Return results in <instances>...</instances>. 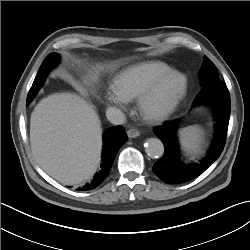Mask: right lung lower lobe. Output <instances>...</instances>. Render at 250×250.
I'll return each instance as SVG.
<instances>
[{"instance_id":"98d812e1","label":"right lung lower lobe","mask_w":250,"mask_h":250,"mask_svg":"<svg viewBox=\"0 0 250 250\" xmlns=\"http://www.w3.org/2000/svg\"><path fill=\"white\" fill-rule=\"evenodd\" d=\"M127 139L124 128L121 126L110 127L103 133V151L100 169L93 179L83 187L77 189L78 191L94 189L103 182L110 172L119 148L127 141Z\"/></svg>"}]
</instances>
